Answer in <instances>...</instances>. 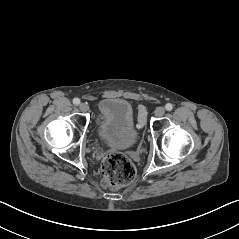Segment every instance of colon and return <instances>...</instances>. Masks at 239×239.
Instances as JSON below:
<instances>
[{
	"mask_svg": "<svg viewBox=\"0 0 239 239\" xmlns=\"http://www.w3.org/2000/svg\"><path fill=\"white\" fill-rule=\"evenodd\" d=\"M146 111L139 107L138 127L145 124ZM102 179L107 186L120 188L131 183L135 177V166L132 161L120 153L105 156L101 166Z\"/></svg>",
	"mask_w": 239,
	"mask_h": 239,
	"instance_id": "5ec220e1",
	"label": "colon"
}]
</instances>
